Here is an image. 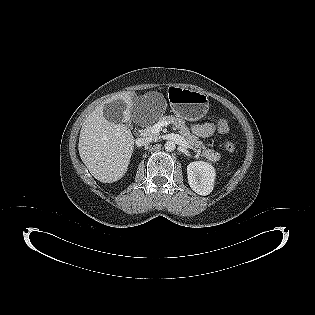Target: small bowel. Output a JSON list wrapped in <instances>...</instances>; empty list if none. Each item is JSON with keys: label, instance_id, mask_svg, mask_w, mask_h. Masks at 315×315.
Instances as JSON below:
<instances>
[{"label": "small bowel", "instance_id": "1", "mask_svg": "<svg viewBox=\"0 0 315 315\" xmlns=\"http://www.w3.org/2000/svg\"><path fill=\"white\" fill-rule=\"evenodd\" d=\"M192 130L197 136L209 137L214 133L215 125L212 123L195 124Z\"/></svg>", "mask_w": 315, "mask_h": 315}]
</instances>
